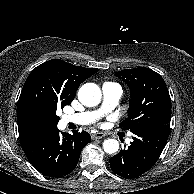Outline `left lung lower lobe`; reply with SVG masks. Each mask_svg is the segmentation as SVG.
<instances>
[{
    "label": "left lung lower lobe",
    "mask_w": 194,
    "mask_h": 194,
    "mask_svg": "<svg viewBox=\"0 0 194 194\" xmlns=\"http://www.w3.org/2000/svg\"><path fill=\"white\" fill-rule=\"evenodd\" d=\"M170 127L139 126L131 130L133 142L128 149L110 159L113 172L123 178H136L147 172L159 159Z\"/></svg>",
    "instance_id": "left-lung-lower-lobe-1"
}]
</instances>
